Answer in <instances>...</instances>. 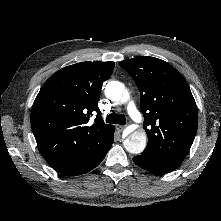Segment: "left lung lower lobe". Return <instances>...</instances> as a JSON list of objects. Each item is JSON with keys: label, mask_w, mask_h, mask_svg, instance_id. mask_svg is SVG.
<instances>
[{"label": "left lung lower lobe", "mask_w": 221, "mask_h": 221, "mask_svg": "<svg viewBox=\"0 0 221 221\" xmlns=\"http://www.w3.org/2000/svg\"><path fill=\"white\" fill-rule=\"evenodd\" d=\"M133 161L139 167L154 173H168L174 171L181 165V161L161 157L144 151L141 155L133 157Z\"/></svg>", "instance_id": "1"}]
</instances>
